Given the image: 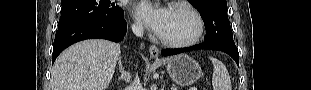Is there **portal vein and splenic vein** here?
<instances>
[{
	"label": "portal vein and splenic vein",
	"instance_id": "1",
	"mask_svg": "<svg viewBox=\"0 0 311 90\" xmlns=\"http://www.w3.org/2000/svg\"><path fill=\"white\" fill-rule=\"evenodd\" d=\"M191 90H196L195 88H192Z\"/></svg>",
	"mask_w": 311,
	"mask_h": 90
}]
</instances>
